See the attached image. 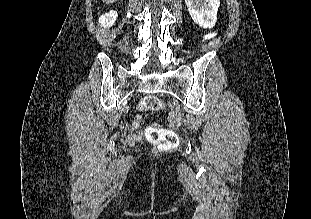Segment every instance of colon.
<instances>
[{"instance_id":"5ec220e1","label":"colon","mask_w":311,"mask_h":219,"mask_svg":"<svg viewBox=\"0 0 311 219\" xmlns=\"http://www.w3.org/2000/svg\"><path fill=\"white\" fill-rule=\"evenodd\" d=\"M140 108L145 111H157L162 108V102L155 95H148L141 101ZM145 137L149 142L166 149L178 143V136L174 131L156 126L147 127Z\"/></svg>"}]
</instances>
